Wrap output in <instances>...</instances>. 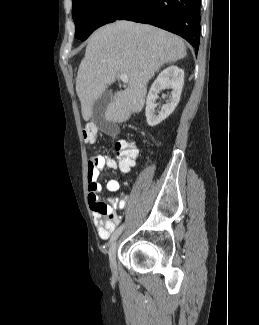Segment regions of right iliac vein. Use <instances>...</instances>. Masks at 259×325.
Wrapping results in <instances>:
<instances>
[{"label": "right iliac vein", "instance_id": "63e3f726", "mask_svg": "<svg viewBox=\"0 0 259 325\" xmlns=\"http://www.w3.org/2000/svg\"><path fill=\"white\" fill-rule=\"evenodd\" d=\"M118 247V241L114 240L109 248V262L110 268L113 274H117V265H116V251Z\"/></svg>", "mask_w": 259, "mask_h": 325}]
</instances>
